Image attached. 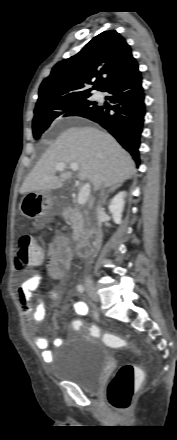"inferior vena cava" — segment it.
I'll use <instances>...</instances> for the list:
<instances>
[{
  "mask_svg": "<svg viewBox=\"0 0 177 440\" xmlns=\"http://www.w3.org/2000/svg\"><path fill=\"white\" fill-rule=\"evenodd\" d=\"M103 188H104V186L101 187V189H102V191H101V196L104 195V190H103ZM103 201H104V199H103ZM101 210H102L101 206L98 205V207H97V212H100Z\"/></svg>",
  "mask_w": 177,
  "mask_h": 440,
  "instance_id": "1",
  "label": "inferior vena cava"
}]
</instances>
